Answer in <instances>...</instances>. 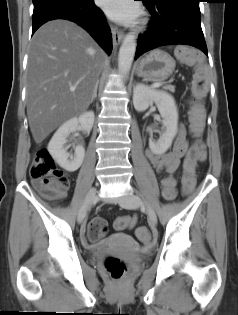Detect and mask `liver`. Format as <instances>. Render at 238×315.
I'll return each mask as SVG.
<instances>
[{"label":"liver","instance_id":"6515ba94","mask_svg":"<svg viewBox=\"0 0 238 315\" xmlns=\"http://www.w3.org/2000/svg\"><path fill=\"white\" fill-rule=\"evenodd\" d=\"M104 60L92 37L71 21H49L36 31L28 55L26 98L37 144L88 108Z\"/></svg>","mask_w":238,"mask_h":315}]
</instances>
